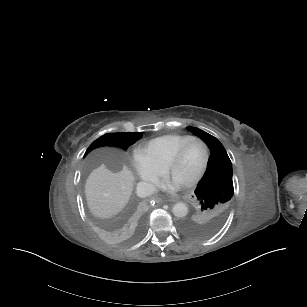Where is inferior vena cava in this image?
<instances>
[{
	"label": "inferior vena cava",
	"mask_w": 307,
	"mask_h": 307,
	"mask_svg": "<svg viewBox=\"0 0 307 307\" xmlns=\"http://www.w3.org/2000/svg\"><path fill=\"white\" fill-rule=\"evenodd\" d=\"M156 191V188L153 184L150 183H146V182H139L137 184V196L141 197V198H145L148 196H151L152 194H154Z\"/></svg>",
	"instance_id": "602c4592"
}]
</instances>
